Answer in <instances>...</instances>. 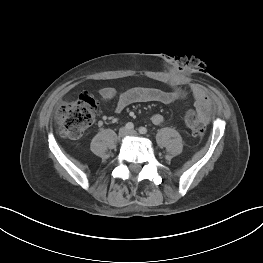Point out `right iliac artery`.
<instances>
[{"instance_id":"82829eb1","label":"right iliac artery","mask_w":263,"mask_h":263,"mask_svg":"<svg viewBox=\"0 0 263 263\" xmlns=\"http://www.w3.org/2000/svg\"><path fill=\"white\" fill-rule=\"evenodd\" d=\"M126 128H127L128 130H133V129H134V124H133L132 122H128V123L126 124Z\"/></svg>"}]
</instances>
